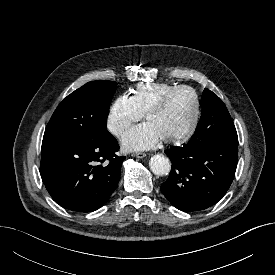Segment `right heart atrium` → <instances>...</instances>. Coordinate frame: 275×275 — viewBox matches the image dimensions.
Returning a JSON list of instances; mask_svg holds the SVG:
<instances>
[{
    "label": "right heart atrium",
    "mask_w": 275,
    "mask_h": 275,
    "mask_svg": "<svg viewBox=\"0 0 275 275\" xmlns=\"http://www.w3.org/2000/svg\"><path fill=\"white\" fill-rule=\"evenodd\" d=\"M143 114L136 108L128 95H120L112 103L107 115V128L116 137L122 136Z\"/></svg>",
    "instance_id": "1"
}]
</instances>
